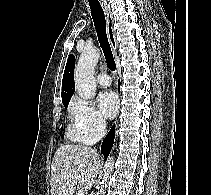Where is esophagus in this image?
I'll return each instance as SVG.
<instances>
[{
    "mask_svg": "<svg viewBox=\"0 0 211 195\" xmlns=\"http://www.w3.org/2000/svg\"><path fill=\"white\" fill-rule=\"evenodd\" d=\"M102 6H103V10L106 17V29H107L109 43H110L112 52L115 55L117 53L118 43L116 40L115 30L113 28V23H114L113 15L111 13L110 6L108 5V3L104 2Z\"/></svg>",
    "mask_w": 211,
    "mask_h": 195,
    "instance_id": "esophagus-1",
    "label": "esophagus"
}]
</instances>
